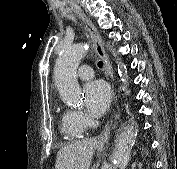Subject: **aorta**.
Masks as SVG:
<instances>
[{
	"mask_svg": "<svg viewBox=\"0 0 177 169\" xmlns=\"http://www.w3.org/2000/svg\"><path fill=\"white\" fill-rule=\"evenodd\" d=\"M88 52V45L85 43L64 46L54 67L55 86L63 102L69 105H79L81 103V89L77 82L76 70ZM122 65L118 66V70ZM136 131L134 124H127L119 132L115 144L114 160L119 169H126L133 144L135 142Z\"/></svg>",
	"mask_w": 177,
	"mask_h": 169,
	"instance_id": "762f6f07",
	"label": "aorta"
}]
</instances>
